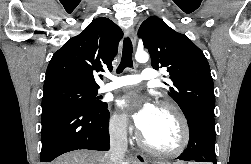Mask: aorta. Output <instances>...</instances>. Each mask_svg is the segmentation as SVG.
<instances>
[{
	"instance_id": "aorta-1",
	"label": "aorta",
	"mask_w": 251,
	"mask_h": 164,
	"mask_svg": "<svg viewBox=\"0 0 251 164\" xmlns=\"http://www.w3.org/2000/svg\"><path fill=\"white\" fill-rule=\"evenodd\" d=\"M135 59L136 61H138L139 63H145L148 61L149 59V55L148 53H146L145 51H138L135 54Z\"/></svg>"
}]
</instances>
